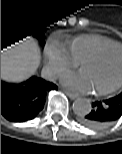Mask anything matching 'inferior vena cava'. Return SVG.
Here are the masks:
<instances>
[{"label":"inferior vena cava","mask_w":122,"mask_h":154,"mask_svg":"<svg viewBox=\"0 0 122 154\" xmlns=\"http://www.w3.org/2000/svg\"><path fill=\"white\" fill-rule=\"evenodd\" d=\"M41 76L46 80L53 81L55 79L56 73L51 68L44 67L42 69Z\"/></svg>","instance_id":"1"}]
</instances>
